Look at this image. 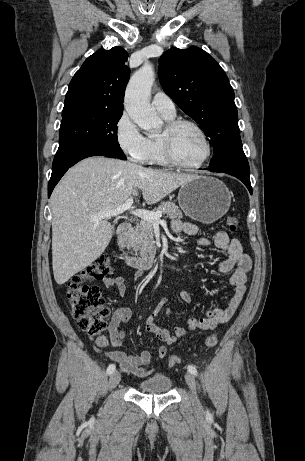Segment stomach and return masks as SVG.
<instances>
[{
  "label": "stomach",
  "mask_w": 305,
  "mask_h": 461,
  "mask_svg": "<svg viewBox=\"0 0 305 461\" xmlns=\"http://www.w3.org/2000/svg\"><path fill=\"white\" fill-rule=\"evenodd\" d=\"M181 209L190 218L210 224L224 216L231 204L226 185L217 178L195 175L178 193Z\"/></svg>",
  "instance_id": "obj_1"
}]
</instances>
